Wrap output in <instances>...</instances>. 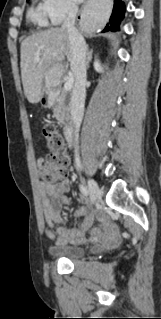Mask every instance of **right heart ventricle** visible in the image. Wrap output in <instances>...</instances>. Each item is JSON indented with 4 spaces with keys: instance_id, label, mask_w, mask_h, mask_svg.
<instances>
[{
    "instance_id": "right-heart-ventricle-1",
    "label": "right heart ventricle",
    "mask_w": 161,
    "mask_h": 319,
    "mask_svg": "<svg viewBox=\"0 0 161 319\" xmlns=\"http://www.w3.org/2000/svg\"><path fill=\"white\" fill-rule=\"evenodd\" d=\"M28 18L33 23H36L40 26H47L50 20L43 5L31 8L28 13Z\"/></svg>"
}]
</instances>
